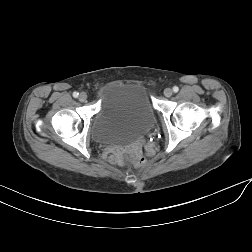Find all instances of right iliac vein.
I'll use <instances>...</instances> for the list:
<instances>
[{
	"label": "right iliac vein",
	"instance_id": "obj_1",
	"mask_svg": "<svg viewBox=\"0 0 252 252\" xmlns=\"http://www.w3.org/2000/svg\"><path fill=\"white\" fill-rule=\"evenodd\" d=\"M87 99H88V96H87V94H86L85 92L80 93V95H79V100H80L81 102H86Z\"/></svg>",
	"mask_w": 252,
	"mask_h": 252
}]
</instances>
